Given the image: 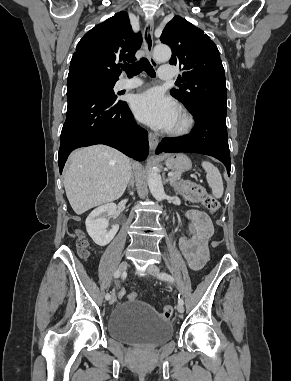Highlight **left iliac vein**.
I'll list each match as a JSON object with an SVG mask.
<instances>
[{
    "instance_id": "obj_1",
    "label": "left iliac vein",
    "mask_w": 291,
    "mask_h": 381,
    "mask_svg": "<svg viewBox=\"0 0 291 381\" xmlns=\"http://www.w3.org/2000/svg\"><path fill=\"white\" fill-rule=\"evenodd\" d=\"M148 272L154 276L158 275L159 274V268L156 266V265H150L148 267ZM177 310L179 313H183L184 312V306L182 303L178 302L177 304Z\"/></svg>"
}]
</instances>
